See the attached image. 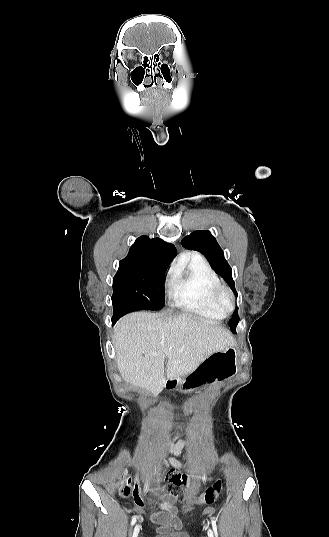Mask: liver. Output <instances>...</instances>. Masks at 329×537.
<instances>
[{"mask_svg":"<svg viewBox=\"0 0 329 537\" xmlns=\"http://www.w3.org/2000/svg\"><path fill=\"white\" fill-rule=\"evenodd\" d=\"M235 343L217 322L191 314L132 313L117 322L113 336L121 377L153 396L165 387V359L167 379H174Z\"/></svg>","mask_w":329,"mask_h":537,"instance_id":"liver-1","label":"liver"}]
</instances>
